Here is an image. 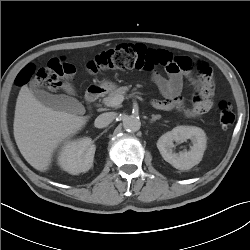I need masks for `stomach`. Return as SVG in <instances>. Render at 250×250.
I'll return each mask as SVG.
<instances>
[{
    "label": "stomach",
    "instance_id": "stomach-1",
    "mask_svg": "<svg viewBox=\"0 0 250 250\" xmlns=\"http://www.w3.org/2000/svg\"><path fill=\"white\" fill-rule=\"evenodd\" d=\"M101 88L106 91H112L116 88V84L109 80H103L100 84Z\"/></svg>",
    "mask_w": 250,
    "mask_h": 250
}]
</instances>
